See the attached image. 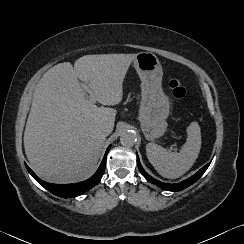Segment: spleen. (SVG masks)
<instances>
[{
	"mask_svg": "<svg viewBox=\"0 0 244 244\" xmlns=\"http://www.w3.org/2000/svg\"><path fill=\"white\" fill-rule=\"evenodd\" d=\"M201 149V130L197 122L187 128L186 143L179 152H172L154 143L146 145L149 162L163 177L176 179L184 175L195 163Z\"/></svg>",
	"mask_w": 244,
	"mask_h": 244,
	"instance_id": "1",
	"label": "spleen"
}]
</instances>
